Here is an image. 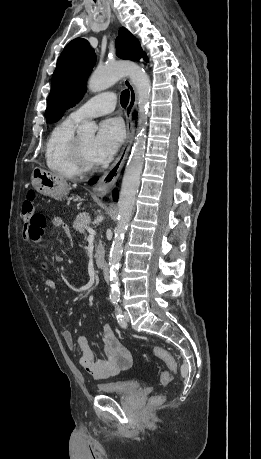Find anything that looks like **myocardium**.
Returning a JSON list of instances; mask_svg holds the SVG:
<instances>
[{
  "label": "myocardium",
  "mask_w": 261,
  "mask_h": 459,
  "mask_svg": "<svg viewBox=\"0 0 261 459\" xmlns=\"http://www.w3.org/2000/svg\"><path fill=\"white\" fill-rule=\"evenodd\" d=\"M72 156L74 163L80 172H90L94 169L93 162L87 159L83 151L79 137H75L73 140Z\"/></svg>",
  "instance_id": "obj_1"
}]
</instances>
